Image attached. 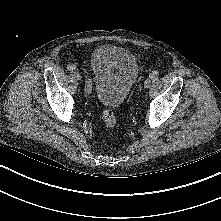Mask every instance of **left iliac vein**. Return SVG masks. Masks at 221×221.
Listing matches in <instances>:
<instances>
[{
    "label": "left iliac vein",
    "instance_id": "obj_1",
    "mask_svg": "<svg viewBox=\"0 0 221 221\" xmlns=\"http://www.w3.org/2000/svg\"><path fill=\"white\" fill-rule=\"evenodd\" d=\"M150 85H151V79L147 78V79L145 80V82H144V87H145V88H149Z\"/></svg>",
    "mask_w": 221,
    "mask_h": 221
}]
</instances>
